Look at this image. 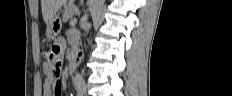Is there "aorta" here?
Instances as JSON below:
<instances>
[{
  "label": "aorta",
  "mask_w": 232,
  "mask_h": 96,
  "mask_svg": "<svg viewBox=\"0 0 232 96\" xmlns=\"http://www.w3.org/2000/svg\"><path fill=\"white\" fill-rule=\"evenodd\" d=\"M102 4L103 0H92V3L90 5V12L93 19L96 17V14L100 10Z\"/></svg>",
  "instance_id": "762f6f07"
}]
</instances>
